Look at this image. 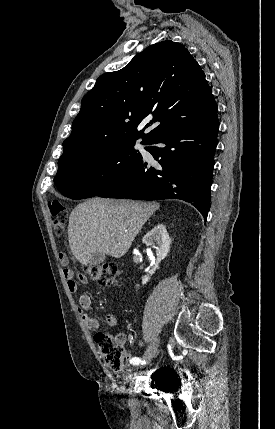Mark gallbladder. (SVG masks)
I'll return each instance as SVG.
<instances>
[{
    "label": "gallbladder",
    "instance_id": "obj_1",
    "mask_svg": "<svg viewBox=\"0 0 275 429\" xmlns=\"http://www.w3.org/2000/svg\"><path fill=\"white\" fill-rule=\"evenodd\" d=\"M105 258L106 256L103 253H94L90 258L89 264L91 266H98L105 260Z\"/></svg>",
    "mask_w": 275,
    "mask_h": 429
}]
</instances>
